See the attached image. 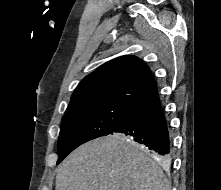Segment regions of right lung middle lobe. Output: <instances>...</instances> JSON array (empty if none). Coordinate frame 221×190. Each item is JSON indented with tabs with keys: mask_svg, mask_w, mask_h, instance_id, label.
Wrapping results in <instances>:
<instances>
[{
	"mask_svg": "<svg viewBox=\"0 0 221 190\" xmlns=\"http://www.w3.org/2000/svg\"><path fill=\"white\" fill-rule=\"evenodd\" d=\"M134 109L114 102H94L68 107L62 118L57 163L81 144L112 134Z\"/></svg>",
	"mask_w": 221,
	"mask_h": 190,
	"instance_id": "obj_1",
	"label": "right lung middle lobe"
}]
</instances>
